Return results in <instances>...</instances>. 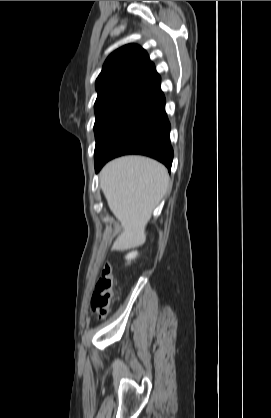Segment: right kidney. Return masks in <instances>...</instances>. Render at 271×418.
Segmentation results:
<instances>
[{"label":"right kidney","instance_id":"ca27d5eb","mask_svg":"<svg viewBox=\"0 0 271 418\" xmlns=\"http://www.w3.org/2000/svg\"><path fill=\"white\" fill-rule=\"evenodd\" d=\"M138 255L137 251L131 252L126 256V259L129 261H131L132 259H135L136 256Z\"/></svg>","mask_w":271,"mask_h":418}]
</instances>
